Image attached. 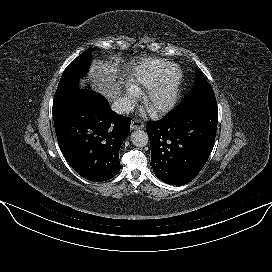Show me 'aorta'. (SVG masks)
<instances>
[{"instance_id": "762f6f07", "label": "aorta", "mask_w": 272, "mask_h": 272, "mask_svg": "<svg viewBox=\"0 0 272 272\" xmlns=\"http://www.w3.org/2000/svg\"><path fill=\"white\" fill-rule=\"evenodd\" d=\"M131 141L136 147H144L148 144L149 138L145 131L136 130L131 134Z\"/></svg>"}]
</instances>
